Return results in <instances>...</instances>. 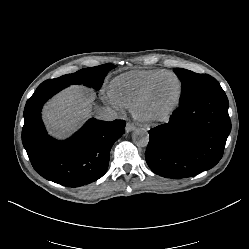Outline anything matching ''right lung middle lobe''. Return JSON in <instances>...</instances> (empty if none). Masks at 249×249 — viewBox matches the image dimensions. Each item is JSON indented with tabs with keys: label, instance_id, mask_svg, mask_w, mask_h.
<instances>
[{
	"label": "right lung middle lobe",
	"instance_id": "dd1d6c3e",
	"mask_svg": "<svg viewBox=\"0 0 249 249\" xmlns=\"http://www.w3.org/2000/svg\"><path fill=\"white\" fill-rule=\"evenodd\" d=\"M114 68L115 65L113 64H103L96 67L81 69L75 73L63 75L56 79H48L42 82L37 89L59 86L68 87L73 84H83L98 90L103 83L104 77Z\"/></svg>",
	"mask_w": 249,
	"mask_h": 249
}]
</instances>
